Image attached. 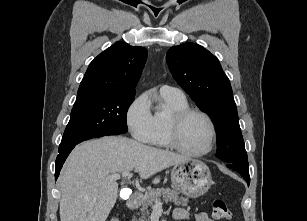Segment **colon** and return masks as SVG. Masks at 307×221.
<instances>
[{
  "label": "colon",
  "instance_id": "colon-1",
  "mask_svg": "<svg viewBox=\"0 0 307 221\" xmlns=\"http://www.w3.org/2000/svg\"><path fill=\"white\" fill-rule=\"evenodd\" d=\"M212 213L213 216L219 220H230L232 218L230 208L220 199H214L212 201ZM109 221H120V219L117 216H112Z\"/></svg>",
  "mask_w": 307,
  "mask_h": 221
}]
</instances>
